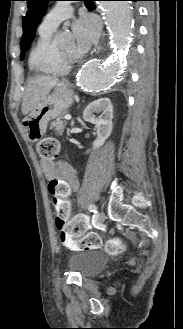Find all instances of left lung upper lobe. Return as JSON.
Listing matches in <instances>:
<instances>
[{
    "label": "left lung upper lobe",
    "instance_id": "5c2ea615",
    "mask_svg": "<svg viewBox=\"0 0 183 329\" xmlns=\"http://www.w3.org/2000/svg\"><path fill=\"white\" fill-rule=\"evenodd\" d=\"M27 1L28 11L23 18L24 34L21 39V60L35 38V30L44 16L48 1L55 0H24Z\"/></svg>",
    "mask_w": 183,
    "mask_h": 329
}]
</instances>
